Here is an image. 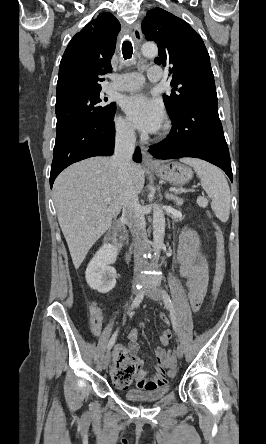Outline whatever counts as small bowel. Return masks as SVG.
I'll use <instances>...</instances> for the list:
<instances>
[{
  "label": "small bowel",
  "mask_w": 266,
  "mask_h": 444,
  "mask_svg": "<svg viewBox=\"0 0 266 444\" xmlns=\"http://www.w3.org/2000/svg\"><path fill=\"white\" fill-rule=\"evenodd\" d=\"M199 252L200 242L196 233L191 230L183 231L178 242L177 263L180 274L186 278L188 297L193 310H197L202 304L208 285L207 265L199 258ZM159 317L164 324H168L164 313ZM103 319V309L97 301H94L90 307V327L95 336L101 333ZM138 335V330H131L128 346L115 348L111 377L118 389H127L133 381L141 389H154L167 384V371L170 375L175 372L169 368L165 349L171 340V331L165 329L159 338V346L155 349L156 373L152 378H146L144 363L137 355Z\"/></svg>",
  "instance_id": "c3829d8e"
}]
</instances>
